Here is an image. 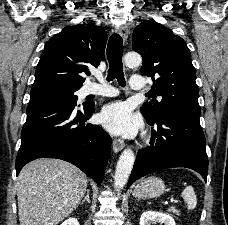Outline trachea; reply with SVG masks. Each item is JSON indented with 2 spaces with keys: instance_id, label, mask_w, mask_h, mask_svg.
Masks as SVG:
<instances>
[{
  "instance_id": "obj_1",
  "label": "trachea",
  "mask_w": 228,
  "mask_h": 225,
  "mask_svg": "<svg viewBox=\"0 0 228 225\" xmlns=\"http://www.w3.org/2000/svg\"><path fill=\"white\" fill-rule=\"evenodd\" d=\"M106 55L109 62L108 81L117 78L119 85L125 86L122 64L123 41L119 34L115 33L109 38Z\"/></svg>"
}]
</instances>
